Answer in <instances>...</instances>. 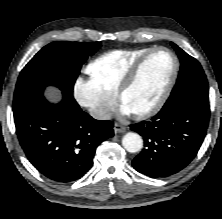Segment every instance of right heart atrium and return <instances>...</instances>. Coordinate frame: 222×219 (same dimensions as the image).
Returning <instances> with one entry per match:
<instances>
[{"label": "right heart atrium", "instance_id": "right-heart-atrium-1", "mask_svg": "<svg viewBox=\"0 0 222 219\" xmlns=\"http://www.w3.org/2000/svg\"><path fill=\"white\" fill-rule=\"evenodd\" d=\"M72 92L75 101L97 120L108 119L114 109L115 100L101 94L89 79L77 77Z\"/></svg>", "mask_w": 222, "mask_h": 219}]
</instances>
